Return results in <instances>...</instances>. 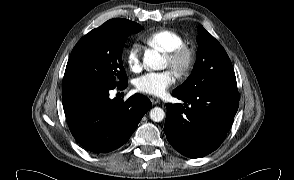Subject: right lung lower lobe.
I'll return each instance as SVG.
<instances>
[{
	"label": "right lung lower lobe",
	"instance_id": "obj_1",
	"mask_svg": "<svg viewBox=\"0 0 294 180\" xmlns=\"http://www.w3.org/2000/svg\"><path fill=\"white\" fill-rule=\"evenodd\" d=\"M110 90L93 84L62 89L63 108L70 131L77 142L91 152L107 153L121 147L152 107L151 101L140 94L125 102L110 99Z\"/></svg>",
	"mask_w": 294,
	"mask_h": 180
}]
</instances>
